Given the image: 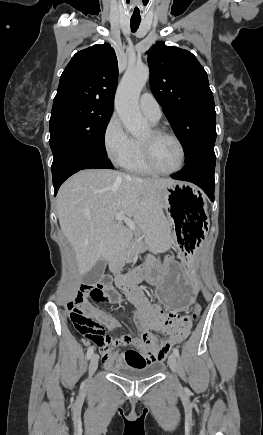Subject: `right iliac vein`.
Returning a JSON list of instances; mask_svg holds the SVG:
<instances>
[{"label":"right iliac vein","mask_w":263,"mask_h":435,"mask_svg":"<svg viewBox=\"0 0 263 435\" xmlns=\"http://www.w3.org/2000/svg\"><path fill=\"white\" fill-rule=\"evenodd\" d=\"M98 361H99L98 355L93 354L89 363V378H91L94 372L96 371L98 367Z\"/></svg>","instance_id":"obj_1"}]
</instances>
